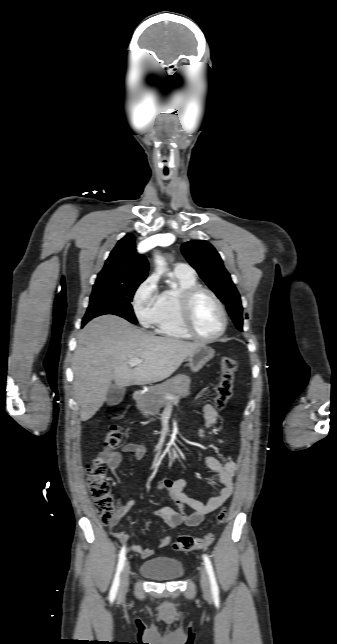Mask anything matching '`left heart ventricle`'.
Here are the masks:
<instances>
[{
  "instance_id": "b2bd125f",
  "label": "left heart ventricle",
  "mask_w": 337,
  "mask_h": 644,
  "mask_svg": "<svg viewBox=\"0 0 337 644\" xmlns=\"http://www.w3.org/2000/svg\"><path fill=\"white\" fill-rule=\"evenodd\" d=\"M193 324L196 331L204 337H211L220 330L221 312L208 294H201L196 299L193 308Z\"/></svg>"
}]
</instances>
